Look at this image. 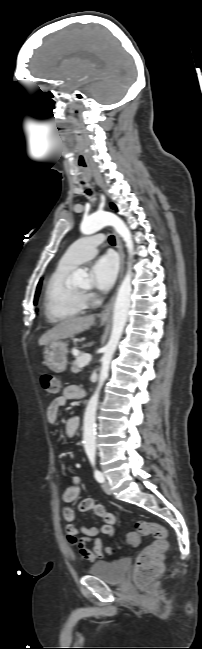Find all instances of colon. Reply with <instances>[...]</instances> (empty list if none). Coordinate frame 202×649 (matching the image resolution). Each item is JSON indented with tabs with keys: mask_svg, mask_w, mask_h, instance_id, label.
I'll return each instance as SVG.
<instances>
[{
	"mask_svg": "<svg viewBox=\"0 0 202 649\" xmlns=\"http://www.w3.org/2000/svg\"><path fill=\"white\" fill-rule=\"evenodd\" d=\"M41 386L48 394H57L61 389L59 378L51 373H44L41 376ZM110 521L112 517H107ZM150 535L154 542L144 548L136 557L134 566V579L139 587L146 586L162 570L163 553L168 548V534L166 529L154 522L139 521L135 530L129 532L126 540L130 544L138 541L140 536Z\"/></svg>",
	"mask_w": 202,
	"mask_h": 649,
	"instance_id": "5ec220e1",
	"label": "colon"
}]
</instances>
